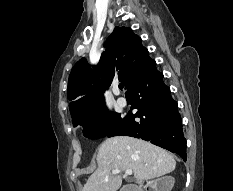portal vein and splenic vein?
I'll return each mask as SVG.
<instances>
[{
    "mask_svg": "<svg viewBox=\"0 0 233 191\" xmlns=\"http://www.w3.org/2000/svg\"><path fill=\"white\" fill-rule=\"evenodd\" d=\"M119 173H121V170L116 169V170L112 171V174H114V175L119 174ZM125 174L128 176L132 175V170H126Z\"/></svg>",
    "mask_w": 233,
    "mask_h": 191,
    "instance_id": "1",
    "label": "portal vein and splenic vein"
}]
</instances>
